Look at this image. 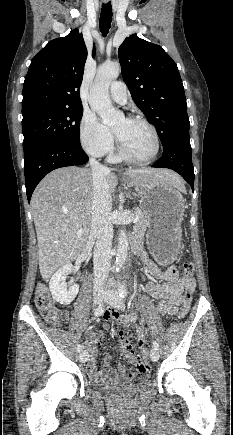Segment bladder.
I'll return each instance as SVG.
<instances>
[{
  "instance_id": "bladder-1",
  "label": "bladder",
  "mask_w": 233,
  "mask_h": 435,
  "mask_svg": "<svg viewBox=\"0 0 233 435\" xmlns=\"http://www.w3.org/2000/svg\"><path fill=\"white\" fill-rule=\"evenodd\" d=\"M150 378L149 374H146L143 376L142 380H138L134 383H125L120 381H111V382H105L99 386H97V390L103 392V393H113V394H125L130 395L137 391L144 390L149 388L150 384L148 382Z\"/></svg>"
}]
</instances>
